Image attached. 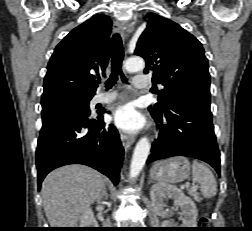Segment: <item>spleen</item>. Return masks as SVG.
<instances>
[{"instance_id":"spleen-1","label":"spleen","mask_w":252,"mask_h":231,"mask_svg":"<svg viewBox=\"0 0 252 231\" xmlns=\"http://www.w3.org/2000/svg\"><path fill=\"white\" fill-rule=\"evenodd\" d=\"M192 179L200 185V192L205 198H211L217 193V182L211 170L204 164L194 161Z\"/></svg>"}]
</instances>
